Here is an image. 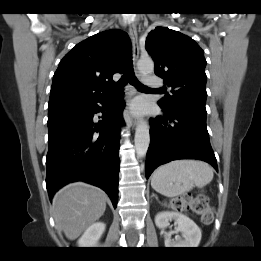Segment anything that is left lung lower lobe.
<instances>
[{
	"instance_id": "left-lung-lower-lobe-1",
	"label": "left lung lower lobe",
	"mask_w": 261,
	"mask_h": 261,
	"mask_svg": "<svg viewBox=\"0 0 261 261\" xmlns=\"http://www.w3.org/2000/svg\"><path fill=\"white\" fill-rule=\"evenodd\" d=\"M163 112V116L150 120L146 178L158 166L177 159H200L217 170L206 127L207 112L186 103Z\"/></svg>"
}]
</instances>
